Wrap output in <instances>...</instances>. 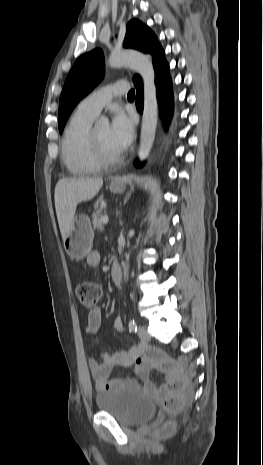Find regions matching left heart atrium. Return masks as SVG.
<instances>
[{"mask_svg":"<svg viewBox=\"0 0 263 465\" xmlns=\"http://www.w3.org/2000/svg\"><path fill=\"white\" fill-rule=\"evenodd\" d=\"M133 130L132 119L121 109H116L109 126V135L118 151L122 152L129 146L133 139Z\"/></svg>","mask_w":263,"mask_h":465,"instance_id":"39dd6f15","label":"left heart atrium"}]
</instances>
